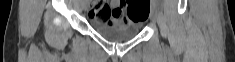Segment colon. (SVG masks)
<instances>
[{
	"instance_id": "1",
	"label": "colon",
	"mask_w": 235,
	"mask_h": 62,
	"mask_svg": "<svg viewBox=\"0 0 235 62\" xmlns=\"http://www.w3.org/2000/svg\"><path fill=\"white\" fill-rule=\"evenodd\" d=\"M101 8H107L104 4L98 5ZM147 9L142 5L140 1L134 0L126 7V18L132 23H136L140 20H144L146 17Z\"/></svg>"
}]
</instances>
